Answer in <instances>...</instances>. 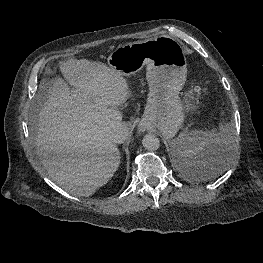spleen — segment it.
Listing matches in <instances>:
<instances>
[{
	"instance_id": "3e777b00",
	"label": "spleen",
	"mask_w": 263,
	"mask_h": 263,
	"mask_svg": "<svg viewBox=\"0 0 263 263\" xmlns=\"http://www.w3.org/2000/svg\"><path fill=\"white\" fill-rule=\"evenodd\" d=\"M235 127L231 123L220 124L218 132L203 130H185L170 143L173 152L181 158H192L210 147H217L224 156L221 169L208 179L222 174L230 162V157L237 147Z\"/></svg>"
}]
</instances>
